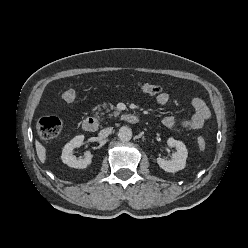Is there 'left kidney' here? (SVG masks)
Segmentation results:
<instances>
[{
  "label": "left kidney",
  "mask_w": 248,
  "mask_h": 248,
  "mask_svg": "<svg viewBox=\"0 0 248 248\" xmlns=\"http://www.w3.org/2000/svg\"><path fill=\"white\" fill-rule=\"evenodd\" d=\"M167 144L176 148V152L172 154L171 160L158 157L157 163L166 172L175 173L182 170L186 166V159L188 157V151L183 142L169 138Z\"/></svg>",
  "instance_id": "1"
}]
</instances>
